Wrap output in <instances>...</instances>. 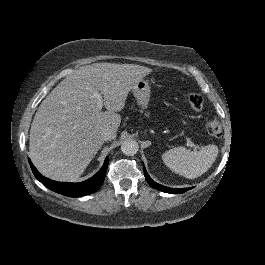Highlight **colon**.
<instances>
[{
    "instance_id": "obj_1",
    "label": "colon",
    "mask_w": 265,
    "mask_h": 265,
    "mask_svg": "<svg viewBox=\"0 0 265 265\" xmlns=\"http://www.w3.org/2000/svg\"><path fill=\"white\" fill-rule=\"evenodd\" d=\"M188 102L190 107L195 110L199 111L203 107V99L201 95L195 92H189L187 94ZM207 132L214 137H219L221 135V125L216 118H211L207 120L205 124Z\"/></svg>"
}]
</instances>
